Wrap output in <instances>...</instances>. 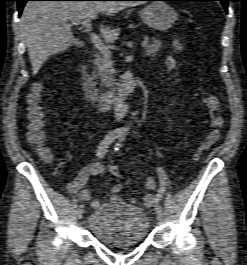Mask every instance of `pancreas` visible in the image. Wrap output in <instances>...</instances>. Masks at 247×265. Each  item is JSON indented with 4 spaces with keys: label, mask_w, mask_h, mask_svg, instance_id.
Returning a JSON list of instances; mask_svg holds the SVG:
<instances>
[{
    "label": "pancreas",
    "mask_w": 247,
    "mask_h": 265,
    "mask_svg": "<svg viewBox=\"0 0 247 265\" xmlns=\"http://www.w3.org/2000/svg\"><path fill=\"white\" fill-rule=\"evenodd\" d=\"M162 43L158 39H154L152 43L148 44L145 50L146 56H155L161 49ZM95 70L97 76L102 79V83L105 86H111L113 84V75L115 70L113 69V61L110 56L100 54L96 56L94 60Z\"/></svg>",
    "instance_id": "cf45deb5"
}]
</instances>
